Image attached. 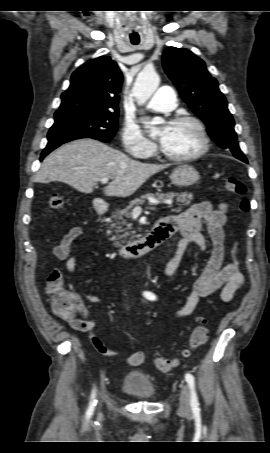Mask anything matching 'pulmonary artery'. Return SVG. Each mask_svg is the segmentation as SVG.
<instances>
[{"mask_svg": "<svg viewBox=\"0 0 270 453\" xmlns=\"http://www.w3.org/2000/svg\"><path fill=\"white\" fill-rule=\"evenodd\" d=\"M147 107L157 112H170L176 107V94L171 87H161L150 98Z\"/></svg>", "mask_w": 270, "mask_h": 453, "instance_id": "e3ab8cb5", "label": "pulmonary artery"}]
</instances>
